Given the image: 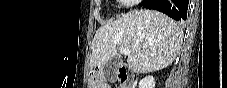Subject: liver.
Here are the masks:
<instances>
[{
	"mask_svg": "<svg viewBox=\"0 0 227 88\" xmlns=\"http://www.w3.org/2000/svg\"><path fill=\"white\" fill-rule=\"evenodd\" d=\"M181 26L154 10H132L100 27L92 41L90 67H103L118 55V48L130 50L128 66L136 73L158 71L169 66L179 53Z\"/></svg>",
	"mask_w": 227,
	"mask_h": 88,
	"instance_id": "liver-1",
	"label": "liver"
}]
</instances>
